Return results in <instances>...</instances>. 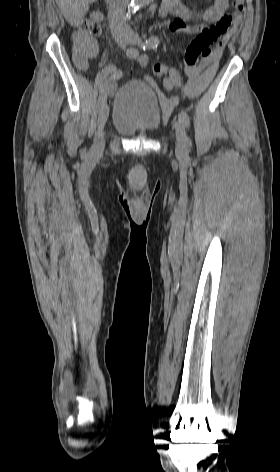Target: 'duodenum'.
Listing matches in <instances>:
<instances>
[{
	"label": "duodenum",
	"instance_id": "410a0bca",
	"mask_svg": "<svg viewBox=\"0 0 280 472\" xmlns=\"http://www.w3.org/2000/svg\"><path fill=\"white\" fill-rule=\"evenodd\" d=\"M106 1L109 2L110 0H106ZM165 14H166V11L163 8H161L160 9V15L164 16Z\"/></svg>",
	"mask_w": 280,
	"mask_h": 472
}]
</instances>
